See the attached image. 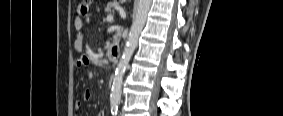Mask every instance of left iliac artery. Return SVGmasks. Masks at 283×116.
<instances>
[{
  "label": "left iliac artery",
  "instance_id": "44dca946",
  "mask_svg": "<svg viewBox=\"0 0 283 116\" xmlns=\"http://www.w3.org/2000/svg\"><path fill=\"white\" fill-rule=\"evenodd\" d=\"M111 113L112 115H117L118 113V103L111 104Z\"/></svg>",
  "mask_w": 283,
  "mask_h": 116
}]
</instances>
